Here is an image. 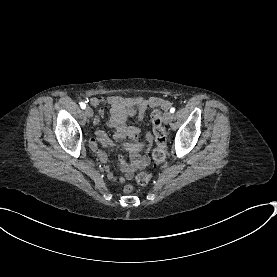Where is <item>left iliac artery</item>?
<instances>
[{
    "label": "left iliac artery",
    "mask_w": 277,
    "mask_h": 277,
    "mask_svg": "<svg viewBox=\"0 0 277 277\" xmlns=\"http://www.w3.org/2000/svg\"><path fill=\"white\" fill-rule=\"evenodd\" d=\"M170 112H171V113H174V112H175V108L172 107V108L170 109Z\"/></svg>",
    "instance_id": "left-iliac-artery-1"
}]
</instances>
